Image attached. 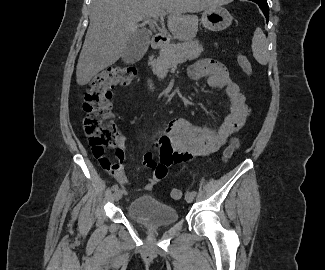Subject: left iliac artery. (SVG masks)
I'll use <instances>...</instances> for the list:
<instances>
[{
	"label": "left iliac artery",
	"instance_id": "44dca946",
	"mask_svg": "<svg viewBox=\"0 0 325 270\" xmlns=\"http://www.w3.org/2000/svg\"><path fill=\"white\" fill-rule=\"evenodd\" d=\"M191 194L195 197L196 196V191H191Z\"/></svg>",
	"mask_w": 325,
	"mask_h": 270
}]
</instances>
